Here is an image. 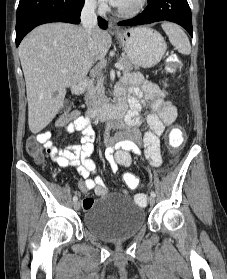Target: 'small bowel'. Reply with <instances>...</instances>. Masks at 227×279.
<instances>
[{
  "label": "small bowel",
  "mask_w": 227,
  "mask_h": 279,
  "mask_svg": "<svg viewBox=\"0 0 227 279\" xmlns=\"http://www.w3.org/2000/svg\"><path fill=\"white\" fill-rule=\"evenodd\" d=\"M119 101L128 102L129 110L124 120L119 124V132L108 136L111 126L104 128L107 142L110 146L105 151V159L113 172L120 167L131 164L130 152L139 154L140 144H144L146 159L152 166L162 163L160 152V136L171 126L177 116L174 104L167 98L166 93L155 83L144 81L138 74H127L121 84L116 87ZM140 99H142L140 101ZM148 105L149 111L145 116L140 114L141 108ZM144 125L143 130L141 126ZM56 129H65L68 134L82 131V135L63 149L57 148L51 141V131H45L30 141L43 144L47 155L61 167H76L82 180L78 186L82 192L94 190L104 197L106 187L100 176H94L96 165L91 155L94 151L96 134L89 118L82 116L80 111H72L54 120ZM93 198H85L82 207L90 210L94 206Z\"/></svg>",
  "instance_id": "1"
}]
</instances>
